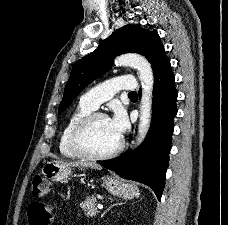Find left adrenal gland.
Masks as SVG:
<instances>
[{
  "label": "left adrenal gland",
  "instance_id": "obj_1",
  "mask_svg": "<svg viewBox=\"0 0 228 225\" xmlns=\"http://www.w3.org/2000/svg\"><path fill=\"white\" fill-rule=\"evenodd\" d=\"M116 205H125V203H116ZM112 207H115V205H111V207H108L107 211H110V209H112ZM107 211H104L103 215H101V217H104V215H106Z\"/></svg>",
  "mask_w": 228,
  "mask_h": 225
}]
</instances>
